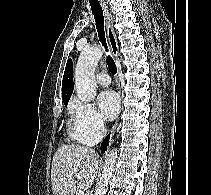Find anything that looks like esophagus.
I'll list each match as a JSON object with an SVG mask.
<instances>
[{
    "mask_svg": "<svg viewBox=\"0 0 211 195\" xmlns=\"http://www.w3.org/2000/svg\"><path fill=\"white\" fill-rule=\"evenodd\" d=\"M104 10H105L106 19H107L106 29H107V36H108L111 54H112V57L118 63L119 47H118L116 34H115V31H114V20H113L111 13L108 10L107 5H104ZM117 126H118V123H116L114 125L110 138H112L114 136L115 131L117 129Z\"/></svg>",
    "mask_w": 211,
    "mask_h": 195,
    "instance_id": "34e87169",
    "label": "esophagus"
}]
</instances>
